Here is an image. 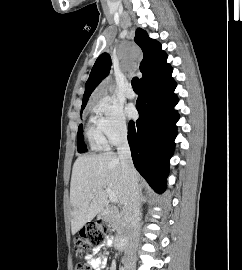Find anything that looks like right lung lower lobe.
I'll list each match as a JSON object with an SVG mask.
<instances>
[{"instance_id":"right-lung-lower-lobe-1","label":"right lung lower lobe","mask_w":242,"mask_h":270,"mask_svg":"<svg viewBox=\"0 0 242 270\" xmlns=\"http://www.w3.org/2000/svg\"><path fill=\"white\" fill-rule=\"evenodd\" d=\"M171 73L172 67L165 63L141 83L136 102L139 119L128 125L133 163L149 185L160 192L166 188L169 159L177 135L175 123L179 119L172 109L178 99L173 93L176 83Z\"/></svg>"}]
</instances>
